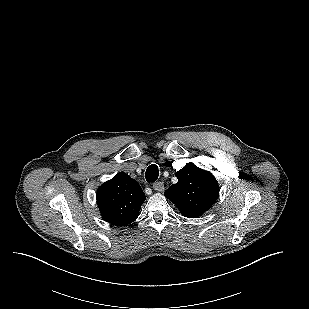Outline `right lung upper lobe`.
Returning a JSON list of instances; mask_svg holds the SVG:
<instances>
[{
	"mask_svg": "<svg viewBox=\"0 0 309 309\" xmlns=\"http://www.w3.org/2000/svg\"><path fill=\"white\" fill-rule=\"evenodd\" d=\"M144 201L141 186L123 172L102 184L97 191V204L103 219L117 226L134 222Z\"/></svg>",
	"mask_w": 309,
	"mask_h": 309,
	"instance_id": "right-lung-upper-lobe-1",
	"label": "right lung upper lobe"
}]
</instances>
